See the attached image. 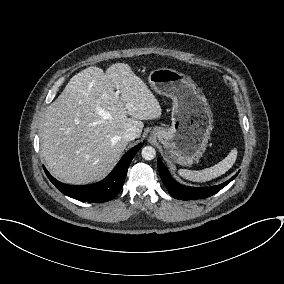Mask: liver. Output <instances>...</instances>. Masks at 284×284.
Segmentation results:
<instances>
[{
    "mask_svg": "<svg viewBox=\"0 0 284 284\" xmlns=\"http://www.w3.org/2000/svg\"><path fill=\"white\" fill-rule=\"evenodd\" d=\"M161 111L128 64L115 63L105 73L88 67L74 75L48 106L40 134L42 156L60 181L73 185L99 181L125 150L126 129L133 128L139 138L142 120L159 118Z\"/></svg>",
    "mask_w": 284,
    "mask_h": 284,
    "instance_id": "6515ba94",
    "label": "liver"
}]
</instances>
